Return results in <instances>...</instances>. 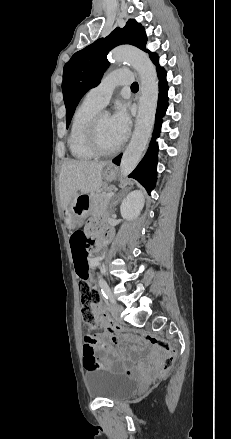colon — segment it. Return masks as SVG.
<instances>
[{"label":"colon","instance_id":"5ec220e1","mask_svg":"<svg viewBox=\"0 0 231 439\" xmlns=\"http://www.w3.org/2000/svg\"><path fill=\"white\" fill-rule=\"evenodd\" d=\"M72 239L75 243V252L77 256L80 253L82 242H84L85 244V249H87V247L89 246L84 235L76 234L72 237ZM77 272L79 276L78 291L81 299L82 318L87 327L95 328L99 326V323L96 321L95 318V311L100 302V297L97 290L93 287L91 283L88 265L79 264L77 266ZM108 329L112 332L118 333L121 331V328L115 324L108 327ZM139 338L145 344L156 348L164 354V359L161 366V375L166 376L174 364L176 357L175 349L168 341L148 332H140ZM84 366L86 369L100 368L102 364L96 360V357L92 351H87L84 356Z\"/></svg>","mask_w":231,"mask_h":439}]
</instances>
